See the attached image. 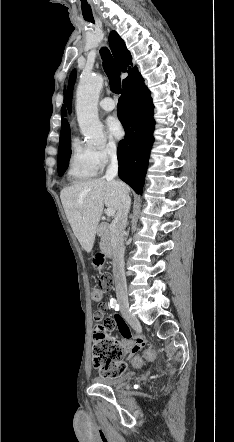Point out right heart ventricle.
Returning <instances> with one entry per match:
<instances>
[{"label":"right heart ventricle","instance_id":"1","mask_svg":"<svg viewBox=\"0 0 234 442\" xmlns=\"http://www.w3.org/2000/svg\"><path fill=\"white\" fill-rule=\"evenodd\" d=\"M99 169L94 149L77 137L73 138L68 159V177L74 181L89 180L98 174Z\"/></svg>","mask_w":234,"mask_h":442}]
</instances>
